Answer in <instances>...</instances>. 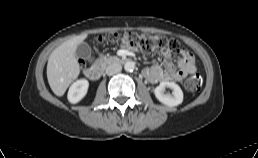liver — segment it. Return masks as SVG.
<instances>
[{
    "label": "liver",
    "instance_id": "obj_1",
    "mask_svg": "<svg viewBox=\"0 0 258 158\" xmlns=\"http://www.w3.org/2000/svg\"><path fill=\"white\" fill-rule=\"evenodd\" d=\"M86 38L87 34L75 36L59 45L50 54L47 63V79L55 95H64L69 85L78 77L80 67L75 52L77 46Z\"/></svg>",
    "mask_w": 258,
    "mask_h": 158
}]
</instances>
